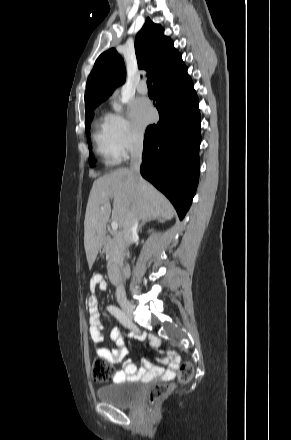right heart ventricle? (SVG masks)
<instances>
[{
    "label": "right heart ventricle",
    "mask_w": 291,
    "mask_h": 440,
    "mask_svg": "<svg viewBox=\"0 0 291 440\" xmlns=\"http://www.w3.org/2000/svg\"><path fill=\"white\" fill-rule=\"evenodd\" d=\"M93 141L95 152L105 165L112 166L119 161L120 157L114 151L108 135L106 118L94 123Z\"/></svg>",
    "instance_id": "e07e8e85"
}]
</instances>
